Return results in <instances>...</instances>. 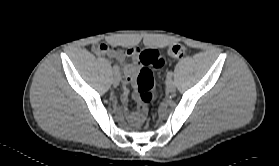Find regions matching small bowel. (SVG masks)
Wrapping results in <instances>:
<instances>
[{
  "label": "small bowel",
  "instance_id": "obj_1",
  "mask_svg": "<svg viewBox=\"0 0 279 166\" xmlns=\"http://www.w3.org/2000/svg\"><path fill=\"white\" fill-rule=\"evenodd\" d=\"M97 53L99 55H102V56H109V57H112V58H114L118 61H122L125 57L134 58L136 56V54L138 53V49L137 48H129L125 52H122L120 50H117V49L113 48L111 45L102 44L101 48L97 51ZM137 71H138V66L135 62L127 63L124 66V73L126 75V81H125V84H124V92H123V95H122V101L124 103H126L127 100H128L129 88L133 85L134 78L137 74ZM130 120L133 123L139 122V118L137 117V112L132 113L130 115Z\"/></svg>",
  "mask_w": 279,
  "mask_h": 166
}]
</instances>
